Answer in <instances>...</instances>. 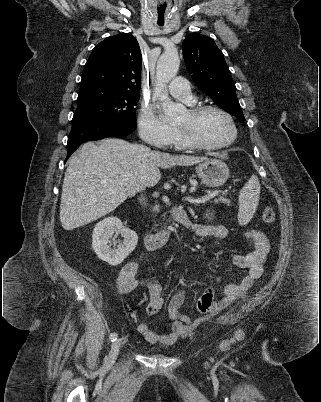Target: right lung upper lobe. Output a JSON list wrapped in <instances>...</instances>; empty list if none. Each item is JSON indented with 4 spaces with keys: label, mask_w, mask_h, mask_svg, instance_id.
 Segmentation results:
<instances>
[{
    "label": "right lung upper lobe",
    "mask_w": 321,
    "mask_h": 402,
    "mask_svg": "<svg viewBox=\"0 0 321 402\" xmlns=\"http://www.w3.org/2000/svg\"><path fill=\"white\" fill-rule=\"evenodd\" d=\"M141 51L128 33L106 38L94 47L83 73L82 87H101L140 94Z\"/></svg>",
    "instance_id": "1"
}]
</instances>
